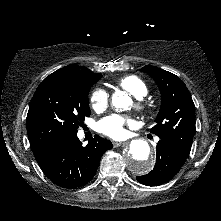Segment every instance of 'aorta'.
Masks as SVG:
<instances>
[{
	"label": "aorta",
	"instance_id": "obj_1",
	"mask_svg": "<svg viewBox=\"0 0 221 221\" xmlns=\"http://www.w3.org/2000/svg\"><path fill=\"white\" fill-rule=\"evenodd\" d=\"M115 108H127L130 98L127 93L118 91L112 97ZM123 160L126 168L134 174H145L153 168V160L150 158L149 144L142 139H134L125 150Z\"/></svg>",
	"mask_w": 221,
	"mask_h": 221
}]
</instances>
